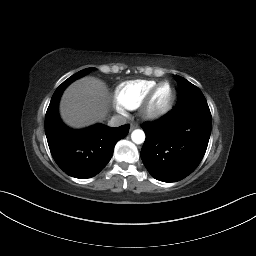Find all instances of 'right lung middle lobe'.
<instances>
[{
  "mask_svg": "<svg viewBox=\"0 0 256 256\" xmlns=\"http://www.w3.org/2000/svg\"><path fill=\"white\" fill-rule=\"evenodd\" d=\"M93 69L95 68H86L84 70L77 72L76 74L72 75L67 80H65L56 90L65 89L72 81L82 77L83 75L89 73Z\"/></svg>",
  "mask_w": 256,
  "mask_h": 256,
  "instance_id": "right-lung-middle-lobe-1",
  "label": "right lung middle lobe"
}]
</instances>
